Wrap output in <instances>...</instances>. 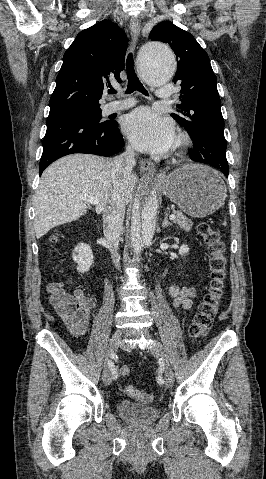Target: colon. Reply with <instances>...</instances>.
<instances>
[{"mask_svg": "<svg viewBox=\"0 0 266 479\" xmlns=\"http://www.w3.org/2000/svg\"><path fill=\"white\" fill-rule=\"evenodd\" d=\"M197 232L209 254L210 283L189 328V335L195 341L203 338L211 327L224 294L226 281V247L224 241L218 231L207 222L199 223ZM56 240L57 238L54 236L52 241L55 242ZM120 374L123 377L129 376V367H121ZM124 390L129 396L142 403H150L154 399L152 393L138 390L131 385L125 386Z\"/></svg>", "mask_w": 266, "mask_h": 479, "instance_id": "5ec220e1", "label": "colon"}]
</instances>
